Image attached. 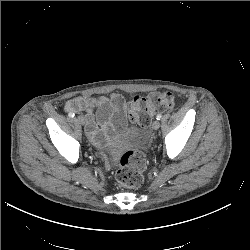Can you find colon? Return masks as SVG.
Segmentation results:
<instances>
[{"label": "colon", "instance_id": "obj_1", "mask_svg": "<svg viewBox=\"0 0 250 250\" xmlns=\"http://www.w3.org/2000/svg\"><path fill=\"white\" fill-rule=\"evenodd\" d=\"M175 97L171 92H152L145 97L136 96L129 103V116L132 122L147 128L153 115L158 111H169L174 107ZM146 160L139 149H130L120 158L115 178L122 187H139L144 179Z\"/></svg>", "mask_w": 250, "mask_h": 250}]
</instances>
